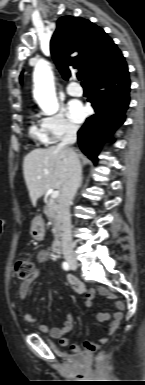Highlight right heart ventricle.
Listing matches in <instances>:
<instances>
[{
	"mask_svg": "<svg viewBox=\"0 0 145 385\" xmlns=\"http://www.w3.org/2000/svg\"><path fill=\"white\" fill-rule=\"evenodd\" d=\"M30 135L41 142L45 141L44 133L42 132V129L37 127L35 124H32L29 129Z\"/></svg>",
	"mask_w": 145,
	"mask_h": 385,
	"instance_id": "obj_1",
	"label": "right heart ventricle"
}]
</instances>
